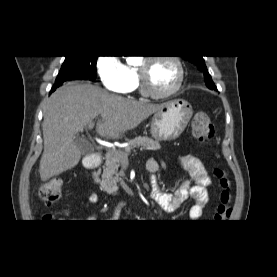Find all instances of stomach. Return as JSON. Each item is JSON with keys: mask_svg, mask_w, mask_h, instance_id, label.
Listing matches in <instances>:
<instances>
[{"mask_svg": "<svg viewBox=\"0 0 277 277\" xmlns=\"http://www.w3.org/2000/svg\"><path fill=\"white\" fill-rule=\"evenodd\" d=\"M192 115V106L187 101L183 99L167 101L154 114L150 133L157 141L175 140L183 133Z\"/></svg>", "mask_w": 277, "mask_h": 277, "instance_id": "stomach-1", "label": "stomach"}]
</instances>
